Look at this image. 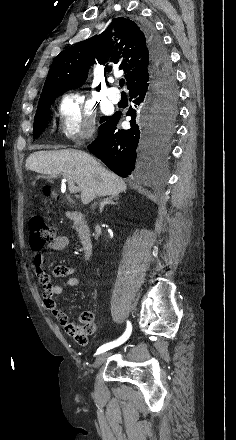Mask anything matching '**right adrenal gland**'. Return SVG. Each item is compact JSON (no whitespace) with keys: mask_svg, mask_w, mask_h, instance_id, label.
<instances>
[{"mask_svg":"<svg viewBox=\"0 0 236 440\" xmlns=\"http://www.w3.org/2000/svg\"><path fill=\"white\" fill-rule=\"evenodd\" d=\"M117 199H118V195H114V196L112 195L107 198H104L103 201L100 203L99 212L102 213V211L106 205L117 204L118 203V202H116Z\"/></svg>","mask_w":236,"mask_h":440,"instance_id":"right-adrenal-gland-1","label":"right adrenal gland"}]
</instances>
